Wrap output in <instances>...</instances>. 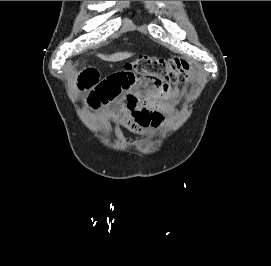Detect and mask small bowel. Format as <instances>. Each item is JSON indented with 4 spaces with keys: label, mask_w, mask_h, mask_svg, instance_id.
Segmentation results:
<instances>
[{
    "label": "small bowel",
    "mask_w": 271,
    "mask_h": 266,
    "mask_svg": "<svg viewBox=\"0 0 271 266\" xmlns=\"http://www.w3.org/2000/svg\"><path fill=\"white\" fill-rule=\"evenodd\" d=\"M75 89L87 93L86 109L102 110L104 116L134 134L160 126L171 108L167 100L178 94L161 79L140 75L129 67L104 78L96 68L87 67L77 75Z\"/></svg>",
    "instance_id": "c3829d8e"
}]
</instances>
